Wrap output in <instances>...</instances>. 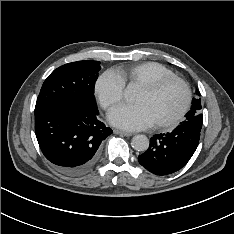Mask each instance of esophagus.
Returning <instances> with one entry per match:
<instances>
[{"mask_svg":"<svg viewBox=\"0 0 234 234\" xmlns=\"http://www.w3.org/2000/svg\"><path fill=\"white\" fill-rule=\"evenodd\" d=\"M114 133L115 134H120V135H123V136H126V137L132 136V133H130V132H125V131H121V130H117V129L114 130Z\"/></svg>","mask_w":234,"mask_h":234,"instance_id":"obj_1","label":"esophagus"}]
</instances>
